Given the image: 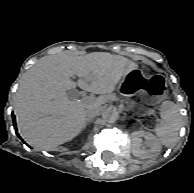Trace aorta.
<instances>
[{
  "instance_id": "obj_1",
  "label": "aorta",
  "mask_w": 194,
  "mask_h": 193,
  "mask_svg": "<svg viewBox=\"0 0 194 193\" xmlns=\"http://www.w3.org/2000/svg\"><path fill=\"white\" fill-rule=\"evenodd\" d=\"M119 119V112L112 108V109H108L107 111H105L104 113V120L108 123H115L117 120Z\"/></svg>"
}]
</instances>
